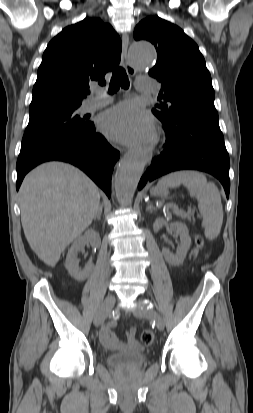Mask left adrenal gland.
<instances>
[{"instance_id": "obj_1", "label": "left adrenal gland", "mask_w": 253, "mask_h": 413, "mask_svg": "<svg viewBox=\"0 0 253 413\" xmlns=\"http://www.w3.org/2000/svg\"><path fill=\"white\" fill-rule=\"evenodd\" d=\"M146 210L149 211V212H152V211H153V206H152V205H149V206L146 208Z\"/></svg>"}]
</instances>
